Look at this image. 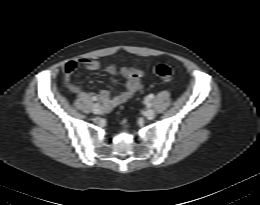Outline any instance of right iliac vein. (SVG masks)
I'll list each match as a JSON object with an SVG mask.
<instances>
[{"label": "right iliac vein", "mask_w": 260, "mask_h": 205, "mask_svg": "<svg viewBox=\"0 0 260 205\" xmlns=\"http://www.w3.org/2000/svg\"><path fill=\"white\" fill-rule=\"evenodd\" d=\"M92 111L95 114H100L103 111V109L100 104L95 103V104H93Z\"/></svg>", "instance_id": "right-iliac-vein-1"}]
</instances>
